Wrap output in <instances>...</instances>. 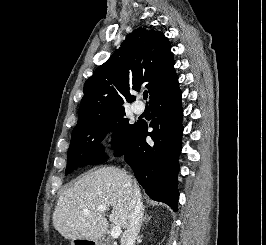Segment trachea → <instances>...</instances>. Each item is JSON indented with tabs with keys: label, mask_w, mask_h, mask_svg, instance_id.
I'll return each mask as SVG.
<instances>
[{
	"label": "trachea",
	"mask_w": 266,
	"mask_h": 245,
	"mask_svg": "<svg viewBox=\"0 0 266 245\" xmlns=\"http://www.w3.org/2000/svg\"><path fill=\"white\" fill-rule=\"evenodd\" d=\"M147 97H148V92H144V93H143V98H144V100H146Z\"/></svg>",
	"instance_id": "1"
}]
</instances>
